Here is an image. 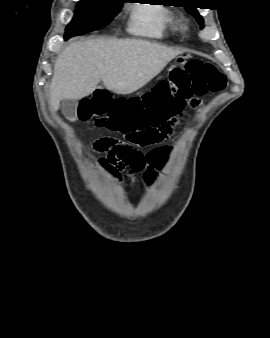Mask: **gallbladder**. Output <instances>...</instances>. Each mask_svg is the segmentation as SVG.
Returning <instances> with one entry per match:
<instances>
[{"mask_svg": "<svg viewBox=\"0 0 270 338\" xmlns=\"http://www.w3.org/2000/svg\"><path fill=\"white\" fill-rule=\"evenodd\" d=\"M77 106H78L77 100L63 99L61 101L62 112L69 119H75L76 118V116H77V114H76Z\"/></svg>", "mask_w": 270, "mask_h": 338, "instance_id": "bac80fb5", "label": "gallbladder"}]
</instances>
